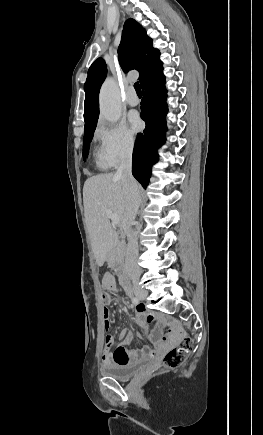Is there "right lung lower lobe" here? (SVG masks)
Returning <instances> with one entry per match:
<instances>
[{
    "instance_id": "obj_1",
    "label": "right lung lower lobe",
    "mask_w": 263,
    "mask_h": 435,
    "mask_svg": "<svg viewBox=\"0 0 263 435\" xmlns=\"http://www.w3.org/2000/svg\"><path fill=\"white\" fill-rule=\"evenodd\" d=\"M141 118L146 127L137 135L132 157V174L146 187L151 176V167L158 161L157 149L165 142L167 130L165 116L168 108L165 103L167 91L163 70L142 86Z\"/></svg>"
}]
</instances>
